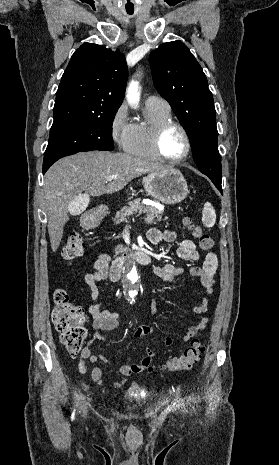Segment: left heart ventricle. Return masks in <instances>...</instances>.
<instances>
[{
    "instance_id": "left-heart-ventricle-1",
    "label": "left heart ventricle",
    "mask_w": 279,
    "mask_h": 465,
    "mask_svg": "<svg viewBox=\"0 0 279 465\" xmlns=\"http://www.w3.org/2000/svg\"><path fill=\"white\" fill-rule=\"evenodd\" d=\"M161 148L169 158L180 157L185 151V140L181 131L176 127L167 129L162 137Z\"/></svg>"
}]
</instances>
